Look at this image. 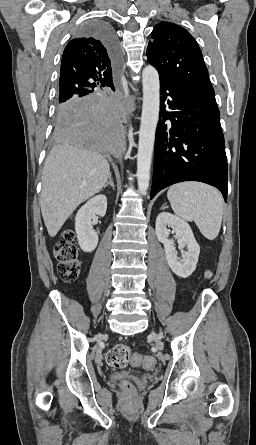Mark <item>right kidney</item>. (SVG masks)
I'll use <instances>...</instances> for the list:
<instances>
[{
    "label": "right kidney",
    "mask_w": 256,
    "mask_h": 445,
    "mask_svg": "<svg viewBox=\"0 0 256 445\" xmlns=\"http://www.w3.org/2000/svg\"><path fill=\"white\" fill-rule=\"evenodd\" d=\"M107 210V198L105 195H97L84 204L76 214L75 231L78 243L84 252H92L98 244V235L93 230L92 219L95 215L105 216Z\"/></svg>",
    "instance_id": "ca27d5eb"
}]
</instances>
